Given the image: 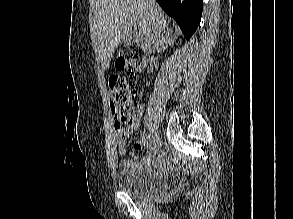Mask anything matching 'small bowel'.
Returning <instances> with one entry per match:
<instances>
[{
    "mask_svg": "<svg viewBox=\"0 0 293 219\" xmlns=\"http://www.w3.org/2000/svg\"><path fill=\"white\" fill-rule=\"evenodd\" d=\"M111 113H112L113 118H114V129H115L116 136H117V145H118L119 153L121 155L128 154L131 157L130 159H123L121 161V164L123 166H125V167L133 166V165L136 164V160L134 159V152L141 150L145 146V144L147 142V137L144 134L141 135V137L133 145V150L131 152H128V153H127V151L125 149V144H126V139L130 134V131L133 130V129H137L140 126V124L142 122L143 114H144V106L141 103H139L137 105V111H136L135 119L129 125L128 129H126L124 131L122 130V125L119 122L118 109L113 104H111Z\"/></svg>",
    "mask_w": 293,
    "mask_h": 219,
    "instance_id": "obj_1",
    "label": "small bowel"
}]
</instances>
